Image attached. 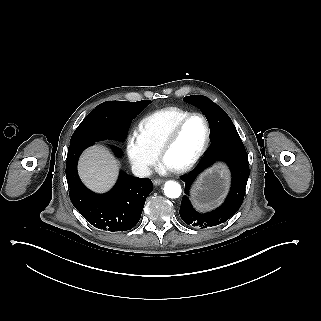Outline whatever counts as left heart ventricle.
I'll return each mask as SVG.
<instances>
[{
  "instance_id": "1",
  "label": "left heart ventricle",
  "mask_w": 321,
  "mask_h": 321,
  "mask_svg": "<svg viewBox=\"0 0 321 321\" xmlns=\"http://www.w3.org/2000/svg\"><path fill=\"white\" fill-rule=\"evenodd\" d=\"M205 135V126L201 118L188 120L180 129L176 140L167 150L164 159L175 168L187 165L199 151Z\"/></svg>"
}]
</instances>
